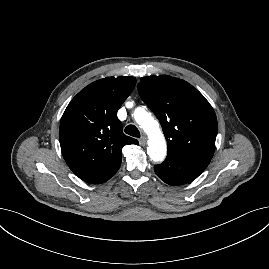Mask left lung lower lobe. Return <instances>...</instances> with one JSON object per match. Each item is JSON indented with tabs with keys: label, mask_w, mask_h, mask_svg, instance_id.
Wrapping results in <instances>:
<instances>
[{
	"label": "left lung lower lobe",
	"mask_w": 269,
	"mask_h": 269,
	"mask_svg": "<svg viewBox=\"0 0 269 269\" xmlns=\"http://www.w3.org/2000/svg\"><path fill=\"white\" fill-rule=\"evenodd\" d=\"M211 158L169 151L166 160L154 166L155 173L169 185H181L196 179L208 166Z\"/></svg>",
	"instance_id": "obj_1"
}]
</instances>
